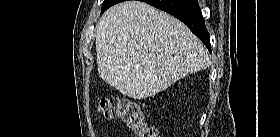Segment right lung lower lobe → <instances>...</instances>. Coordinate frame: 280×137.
<instances>
[{
	"mask_svg": "<svg viewBox=\"0 0 280 137\" xmlns=\"http://www.w3.org/2000/svg\"><path fill=\"white\" fill-rule=\"evenodd\" d=\"M156 8H159L180 21L185 23L189 29L205 44L209 51L210 35L206 29L205 21L197 0H140Z\"/></svg>",
	"mask_w": 280,
	"mask_h": 137,
	"instance_id": "98d812e1",
	"label": "right lung lower lobe"
}]
</instances>
